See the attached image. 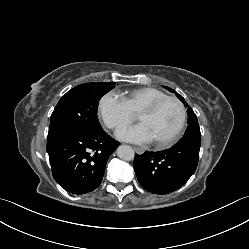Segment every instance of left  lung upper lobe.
<instances>
[{
    "label": "left lung upper lobe",
    "mask_w": 249,
    "mask_h": 249,
    "mask_svg": "<svg viewBox=\"0 0 249 249\" xmlns=\"http://www.w3.org/2000/svg\"><path fill=\"white\" fill-rule=\"evenodd\" d=\"M171 92H175L171 88L165 87ZM176 96L184 103L185 107H188L187 114H188V126L187 130L180 141L186 140H193V141H200L201 140V133L199 124L197 121V116L193 112L190 106L185 102L184 98L180 94H176Z\"/></svg>",
    "instance_id": "1"
}]
</instances>
